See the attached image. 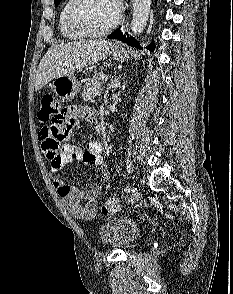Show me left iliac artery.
Here are the masks:
<instances>
[{
    "mask_svg": "<svg viewBox=\"0 0 233 294\" xmlns=\"http://www.w3.org/2000/svg\"><path fill=\"white\" fill-rule=\"evenodd\" d=\"M135 190H137V188H134V187H132V188H129V187H126V188H124V191H126V192H134Z\"/></svg>",
    "mask_w": 233,
    "mask_h": 294,
    "instance_id": "1",
    "label": "left iliac artery"
}]
</instances>
